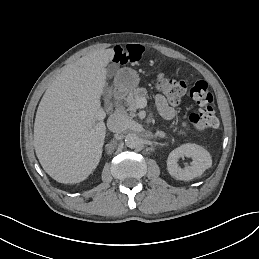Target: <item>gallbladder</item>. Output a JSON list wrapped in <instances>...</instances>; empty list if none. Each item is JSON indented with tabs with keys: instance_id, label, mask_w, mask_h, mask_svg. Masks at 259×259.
<instances>
[{
	"instance_id": "gallbladder-1",
	"label": "gallbladder",
	"mask_w": 259,
	"mask_h": 259,
	"mask_svg": "<svg viewBox=\"0 0 259 259\" xmlns=\"http://www.w3.org/2000/svg\"><path fill=\"white\" fill-rule=\"evenodd\" d=\"M118 68V64H110L107 67V77L111 78L115 71ZM113 97V89L111 87L105 86L104 88V92H103V99H104V103H105V107L107 109L112 107V103H111V99Z\"/></svg>"
}]
</instances>
